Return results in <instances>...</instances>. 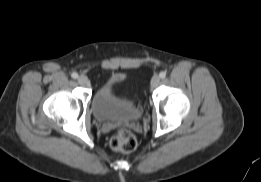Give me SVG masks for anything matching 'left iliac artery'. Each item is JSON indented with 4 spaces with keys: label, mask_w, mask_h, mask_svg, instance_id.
Listing matches in <instances>:
<instances>
[{
    "label": "left iliac artery",
    "mask_w": 261,
    "mask_h": 182,
    "mask_svg": "<svg viewBox=\"0 0 261 182\" xmlns=\"http://www.w3.org/2000/svg\"><path fill=\"white\" fill-rule=\"evenodd\" d=\"M159 77L162 78V79L165 78L166 72H164V71L160 72Z\"/></svg>",
    "instance_id": "44dca946"
}]
</instances>
